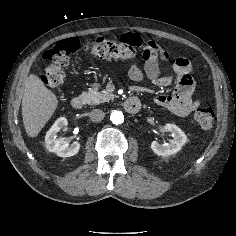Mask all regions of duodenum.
Here are the masks:
<instances>
[{"label":"duodenum","instance_id":"410a0bca","mask_svg":"<svg viewBox=\"0 0 236 236\" xmlns=\"http://www.w3.org/2000/svg\"><path fill=\"white\" fill-rule=\"evenodd\" d=\"M70 106L74 110H80L83 107V99L73 97L70 101ZM123 106L128 113H137L141 108V102L136 97H129L125 100Z\"/></svg>","mask_w":236,"mask_h":236}]
</instances>
